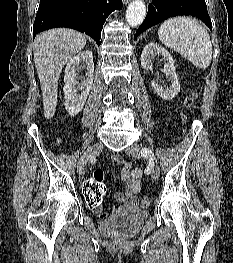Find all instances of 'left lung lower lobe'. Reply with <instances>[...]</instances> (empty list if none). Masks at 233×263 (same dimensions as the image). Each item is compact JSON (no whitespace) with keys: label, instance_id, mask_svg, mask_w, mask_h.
<instances>
[{"label":"left lung lower lobe","instance_id":"obj_1","mask_svg":"<svg viewBox=\"0 0 233 263\" xmlns=\"http://www.w3.org/2000/svg\"><path fill=\"white\" fill-rule=\"evenodd\" d=\"M178 15L195 16L203 20L209 29L212 30V23L207 12L205 0H153L148 7L145 20L134 35V39L146 29L167 18Z\"/></svg>","mask_w":233,"mask_h":263}]
</instances>
